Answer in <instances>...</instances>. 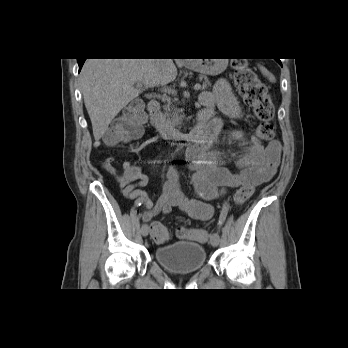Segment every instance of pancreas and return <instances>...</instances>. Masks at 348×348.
Instances as JSON below:
<instances>
[{"label": "pancreas", "mask_w": 348, "mask_h": 348, "mask_svg": "<svg viewBox=\"0 0 348 348\" xmlns=\"http://www.w3.org/2000/svg\"><path fill=\"white\" fill-rule=\"evenodd\" d=\"M200 80H203L202 89L206 90L211 87V82L209 79L200 75ZM179 102L177 100L167 99V104L164 106V117L166 118V122L172 126H178L182 124L185 115L183 114V109L178 107Z\"/></svg>", "instance_id": "obj_1"}]
</instances>
